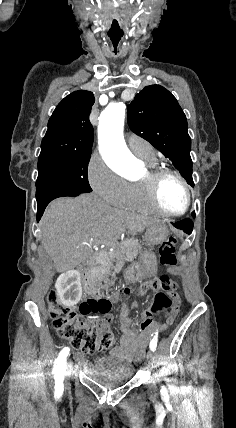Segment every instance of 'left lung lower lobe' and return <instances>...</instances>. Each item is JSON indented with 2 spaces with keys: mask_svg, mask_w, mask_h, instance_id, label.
<instances>
[{
  "mask_svg": "<svg viewBox=\"0 0 236 428\" xmlns=\"http://www.w3.org/2000/svg\"><path fill=\"white\" fill-rule=\"evenodd\" d=\"M193 218H195V214L194 212L192 213ZM173 226H175L176 228H179L181 230H183L184 232H186L187 234H191L192 230H193V222L191 219H184L182 221L176 222V223H172Z\"/></svg>",
  "mask_w": 236,
  "mask_h": 428,
  "instance_id": "1",
  "label": "left lung lower lobe"
}]
</instances>
